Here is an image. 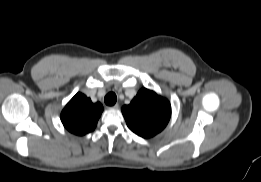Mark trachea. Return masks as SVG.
I'll return each mask as SVG.
<instances>
[{"label": "trachea", "instance_id": "trachea-1", "mask_svg": "<svg viewBox=\"0 0 261 182\" xmlns=\"http://www.w3.org/2000/svg\"><path fill=\"white\" fill-rule=\"evenodd\" d=\"M117 101V96L114 92H110L108 93L105 98H104V102L109 105V106H112L116 103Z\"/></svg>", "mask_w": 261, "mask_h": 182}]
</instances>
